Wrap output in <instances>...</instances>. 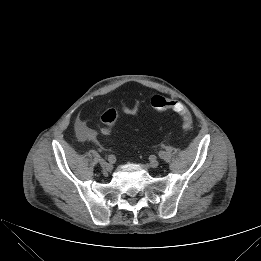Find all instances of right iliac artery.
<instances>
[{"label":"right iliac artery","mask_w":261,"mask_h":261,"mask_svg":"<svg viewBox=\"0 0 261 261\" xmlns=\"http://www.w3.org/2000/svg\"><path fill=\"white\" fill-rule=\"evenodd\" d=\"M108 161L109 163L114 164L116 162V157L111 154L108 156Z\"/></svg>","instance_id":"82829eb1"}]
</instances>
